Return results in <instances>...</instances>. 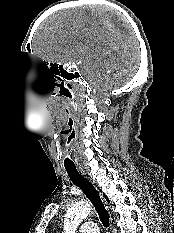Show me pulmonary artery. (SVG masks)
<instances>
[{
	"label": "pulmonary artery",
	"instance_id": "obj_1",
	"mask_svg": "<svg viewBox=\"0 0 174 233\" xmlns=\"http://www.w3.org/2000/svg\"><path fill=\"white\" fill-rule=\"evenodd\" d=\"M79 232L80 233H99V228L95 222L87 221V222H84L80 226Z\"/></svg>",
	"mask_w": 174,
	"mask_h": 233
}]
</instances>
